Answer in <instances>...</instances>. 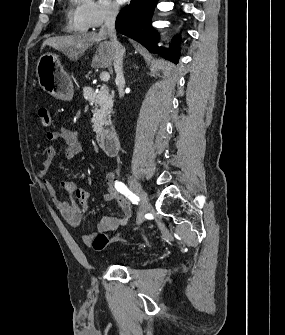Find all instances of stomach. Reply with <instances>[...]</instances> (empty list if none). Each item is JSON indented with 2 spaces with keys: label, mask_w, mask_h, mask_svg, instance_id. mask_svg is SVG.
Returning <instances> with one entry per match:
<instances>
[{
  "label": "stomach",
  "mask_w": 285,
  "mask_h": 335,
  "mask_svg": "<svg viewBox=\"0 0 285 335\" xmlns=\"http://www.w3.org/2000/svg\"><path fill=\"white\" fill-rule=\"evenodd\" d=\"M39 86L57 100H71L73 86L71 78L64 72L56 54H43L36 66Z\"/></svg>",
  "instance_id": "1"
}]
</instances>
